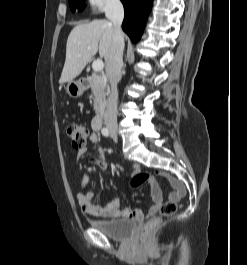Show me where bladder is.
<instances>
[{
  "mask_svg": "<svg viewBox=\"0 0 247 265\" xmlns=\"http://www.w3.org/2000/svg\"><path fill=\"white\" fill-rule=\"evenodd\" d=\"M89 224L92 228L117 241L127 240L135 228L133 221L129 219L90 220Z\"/></svg>",
  "mask_w": 247,
  "mask_h": 265,
  "instance_id": "1",
  "label": "bladder"
}]
</instances>
